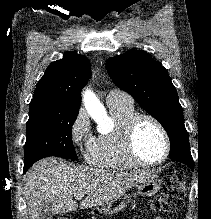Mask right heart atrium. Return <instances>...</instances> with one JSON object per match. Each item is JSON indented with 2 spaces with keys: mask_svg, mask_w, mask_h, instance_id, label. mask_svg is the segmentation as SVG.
<instances>
[{
  "mask_svg": "<svg viewBox=\"0 0 211 219\" xmlns=\"http://www.w3.org/2000/svg\"><path fill=\"white\" fill-rule=\"evenodd\" d=\"M70 141L73 145L88 147L93 139L88 117L83 111L74 117L69 130Z\"/></svg>",
  "mask_w": 211,
  "mask_h": 219,
  "instance_id": "d8ad5b80",
  "label": "right heart atrium"
}]
</instances>
